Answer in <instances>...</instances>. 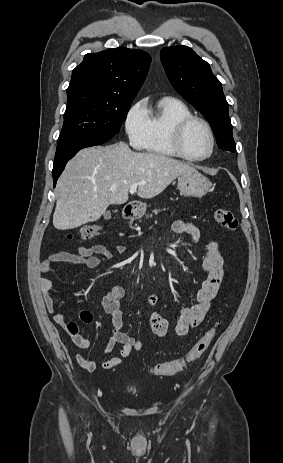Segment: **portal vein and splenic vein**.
<instances>
[{
    "label": "portal vein and splenic vein",
    "instance_id": "obj_1",
    "mask_svg": "<svg viewBox=\"0 0 283 463\" xmlns=\"http://www.w3.org/2000/svg\"><path fill=\"white\" fill-rule=\"evenodd\" d=\"M145 182H137V183H134L131 187H130V194H134L137 190V187L139 185H144Z\"/></svg>",
    "mask_w": 283,
    "mask_h": 463
}]
</instances>
